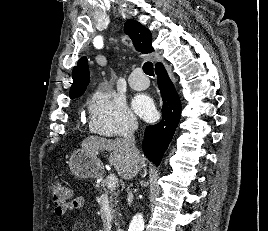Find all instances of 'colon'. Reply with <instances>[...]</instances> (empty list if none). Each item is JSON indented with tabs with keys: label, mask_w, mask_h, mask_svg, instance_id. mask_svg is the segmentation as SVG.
I'll return each instance as SVG.
<instances>
[{
	"label": "colon",
	"mask_w": 268,
	"mask_h": 231,
	"mask_svg": "<svg viewBox=\"0 0 268 231\" xmlns=\"http://www.w3.org/2000/svg\"><path fill=\"white\" fill-rule=\"evenodd\" d=\"M50 190L55 206L66 210L70 202V189L60 182H54L51 184Z\"/></svg>",
	"instance_id": "obj_1"
}]
</instances>
